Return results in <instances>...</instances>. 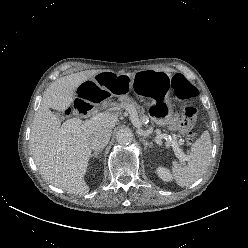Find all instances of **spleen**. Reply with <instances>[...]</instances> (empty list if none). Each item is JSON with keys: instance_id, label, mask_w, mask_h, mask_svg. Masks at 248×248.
Masks as SVG:
<instances>
[{"instance_id": "1", "label": "spleen", "mask_w": 248, "mask_h": 248, "mask_svg": "<svg viewBox=\"0 0 248 248\" xmlns=\"http://www.w3.org/2000/svg\"><path fill=\"white\" fill-rule=\"evenodd\" d=\"M212 143L208 131L193 143L191 153L186 157L187 165L181 166L177 161L172 163V173L180 187H188L206 172L211 161Z\"/></svg>"}]
</instances>
